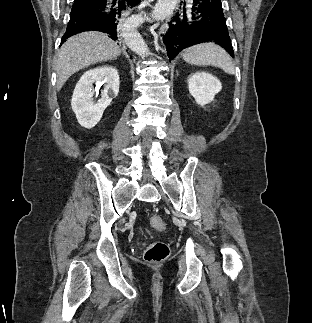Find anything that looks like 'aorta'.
I'll list each match as a JSON object with an SVG mask.
<instances>
[{"label": "aorta", "mask_w": 312, "mask_h": 323, "mask_svg": "<svg viewBox=\"0 0 312 323\" xmlns=\"http://www.w3.org/2000/svg\"><path fill=\"white\" fill-rule=\"evenodd\" d=\"M125 42L132 50L135 52L137 56H141V58H146L148 56V48L146 42H144L143 38H141L140 34H138L137 30H130L128 34L124 36Z\"/></svg>", "instance_id": "762f6f07"}]
</instances>
